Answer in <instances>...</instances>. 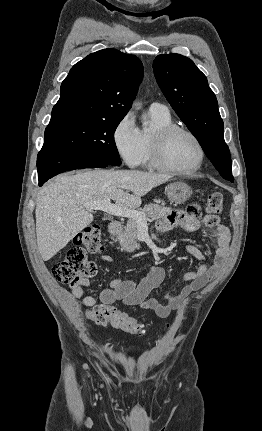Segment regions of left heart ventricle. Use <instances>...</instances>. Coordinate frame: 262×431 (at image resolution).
I'll return each instance as SVG.
<instances>
[{
	"instance_id": "obj_1",
	"label": "left heart ventricle",
	"mask_w": 262,
	"mask_h": 431,
	"mask_svg": "<svg viewBox=\"0 0 262 431\" xmlns=\"http://www.w3.org/2000/svg\"><path fill=\"white\" fill-rule=\"evenodd\" d=\"M165 158L174 167L190 170L198 162V147L188 135L178 133L167 140Z\"/></svg>"
}]
</instances>
